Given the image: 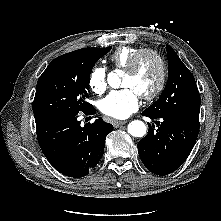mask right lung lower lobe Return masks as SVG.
<instances>
[{"label":"right lung lower lobe","mask_w":221,"mask_h":221,"mask_svg":"<svg viewBox=\"0 0 221 221\" xmlns=\"http://www.w3.org/2000/svg\"><path fill=\"white\" fill-rule=\"evenodd\" d=\"M92 108L86 114H94ZM78 116L48 118L36 122L37 138L47 160L62 174L79 178L94 168L104 152L112 124L101 118L84 127Z\"/></svg>","instance_id":"1"}]
</instances>
